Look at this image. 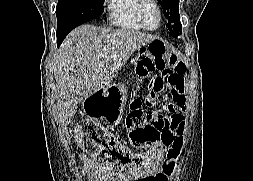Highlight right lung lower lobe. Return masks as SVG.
<instances>
[{"mask_svg": "<svg viewBox=\"0 0 253 181\" xmlns=\"http://www.w3.org/2000/svg\"><path fill=\"white\" fill-rule=\"evenodd\" d=\"M68 33L58 34L57 35V45L60 46L64 38L66 37Z\"/></svg>", "mask_w": 253, "mask_h": 181, "instance_id": "98d812e1", "label": "right lung lower lobe"}]
</instances>
